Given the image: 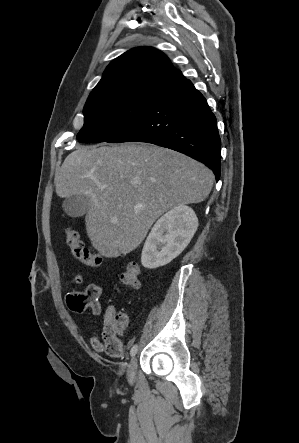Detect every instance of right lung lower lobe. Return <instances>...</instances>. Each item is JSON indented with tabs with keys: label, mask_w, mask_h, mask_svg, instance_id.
I'll list each match as a JSON object with an SVG mask.
<instances>
[{
	"label": "right lung lower lobe",
	"mask_w": 299,
	"mask_h": 443,
	"mask_svg": "<svg viewBox=\"0 0 299 443\" xmlns=\"http://www.w3.org/2000/svg\"><path fill=\"white\" fill-rule=\"evenodd\" d=\"M109 143L147 142L184 153L220 177V137L204 96L188 79L165 90L139 118Z\"/></svg>",
	"instance_id": "obj_1"
}]
</instances>
